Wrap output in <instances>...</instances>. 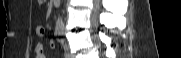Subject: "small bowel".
Wrapping results in <instances>:
<instances>
[{
  "mask_svg": "<svg viewBox=\"0 0 181 58\" xmlns=\"http://www.w3.org/2000/svg\"><path fill=\"white\" fill-rule=\"evenodd\" d=\"M36 34L38 37H43L45 34V29L42 26H37L36 27ZM50 47H54V42L51 40L50 41ZM34 51L36 54V58H45V54H44V47L41 43H37L34 47Z\"/></svg>",
  "mask_w": 181,
  "mask_h": 58,
  "instance_id": "1",
  "label": "small bowel"
}]
</instances>
